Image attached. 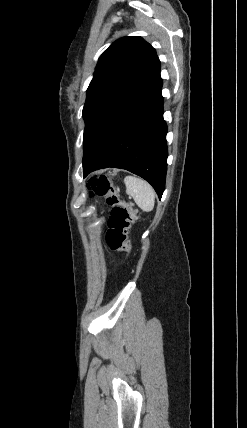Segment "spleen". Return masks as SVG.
Listing matches in <instances>:
<instances>
[{
	"mask_svg": "<svg viewBox=\"0 0 247 428\" xmlns=\"http://www.w3.org/2000/svg\"><path fill=\"white\" fill-rule=\"evenodd\" d=\"M126 193L133 197L135 203L145 212H150L155 204V192L143 179L127 176L124 180Z\"/></svg>",
	"mask_w": 247,
	"mask_h": 428,
	"instance_id": "3e777b00",
	"label": "spleen"
}]
</instances>
